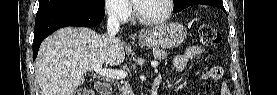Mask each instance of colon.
I'll list each match as a JSON object with an SVG mask.
<instances>
[{"label":"colon","mask_w":277,"mask_h":95,"mask_svg":"<svg viewBox=\"0 0 277 95\" xmlns=\"http://www.w3.org/2000/svg\"><path fill=\"white\" fill-rule=\"evenodd\" d=\"M199 34V45L203 48H210L217 46L221 43L222 37L220 33L213 28L212 26H201L198 31ZM76 95H92L93 92L91 90L85 88L77 89Z\"/></svg>","instance_id":"obj_1"}]
</instances>
